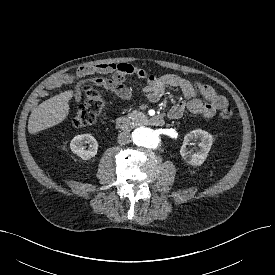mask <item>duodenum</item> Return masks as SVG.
<instances>
[{
	"instance_id": "obj_1",
	"label": "duodenum",
	"mask_w": 275,
	"mask_h": 275,
	"mask_svg": "<svg viewBox=\"0 0 275 275\" xmlns=\"http://www.w3.org/2000/svg\"><path fill=\"white\" fill-rule=\"evenodd\" d=\"M143 120L151 126L160 127L164 125V119L157 116L144 118ZM134 121L135 120L132 117L120 116L116 119V126L121 130H126L134 123Z\"/></svg>"
}]
</instances>
